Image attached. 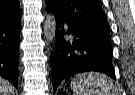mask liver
Here are the masks:
<instances>
[{
    "mask_svg": "<svg viewBox=\"0 0 135 95\" xmlns=\"http://www.w3.org/2000/svg\"><path fill=\"white\" fill-rule=\"evenodd\" d=\"M15 88L8 81L0 77V95H14Z\"/></svg>",
    "mask_w": 135,
    "mask_h": 95,
    "instance_id": "liver-1",
    "label": "liver"
}]
</instances>
